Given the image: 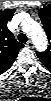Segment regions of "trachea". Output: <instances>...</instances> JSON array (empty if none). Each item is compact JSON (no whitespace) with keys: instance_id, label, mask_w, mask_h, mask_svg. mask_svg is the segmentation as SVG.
Here are the masks:
<instances>
[{"instance_id":"trachea-1","label":"trachea","mask_w":51,"mask_h":101,"mask_svg":"<svg viewBox=\"0 0 51 101\" xmlns=\"http://www.w3.org/2000/svg\"><path fill=\"white\" fill-rule=\"evenodd\" d=\"M18 40H19L21 43H26L27 40H28V38H27V36H26L25 34L20 33V34L18 35Z\"/></svg>"}]
</instances>
